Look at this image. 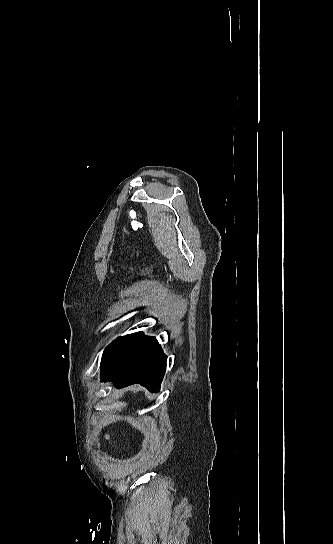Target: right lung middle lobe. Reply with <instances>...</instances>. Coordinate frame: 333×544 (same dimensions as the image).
I'll use <instances>...</instances> for the list:
<instances>
[{
	"mask_svg": "<svg viewBox=\"0 0 333 544\" xmlns=\"http://www.w3.org/2000/svg\"><path fill=\"white\" fill-rule=\"evenodd\" d=\"M143 335L142 332L129 334L123 337H119L114 340L104 351L101 366H103L110 358L124 350L131 343L139 339Z\"/></svg>",
	"mask_w": 333,
	"mask_h": 544,
	"instance_id": "1",
	"label": "right lung middle lobe"
}]
</instances>
